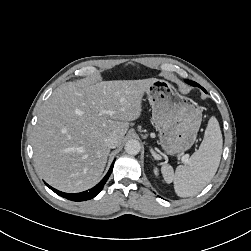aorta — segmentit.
I'll return each mask as SVG.
<instances>
[{"mask_svg": "<svg viewBox=\"0 0 251 251\" xmlns=\"http://www.w3.org/2000/svg\"><path fill=\"white\" fill-rule=\"evenodd\" d=\"M141 146L135 139L128 140L125 144V152L130 155H136L140 152Z\"/></svg>", "mask_w": 251, "mask_h": 251, "instance_id": "762f6f07", "label": "aorta"}]
</instances>
